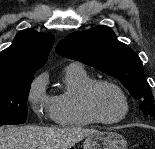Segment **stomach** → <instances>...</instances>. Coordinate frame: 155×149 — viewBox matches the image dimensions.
Wrapping results in <instances>:
<instances>
[{
    "instance_id": "obj_1",
    "label": "stomach",
    "mask_w": 155,
    "mask_h": 149,
    "mask_svg": "<svg viewBox=\"0 0 155 149\" xmlns=\"http://www.w3.org/2000/svg\"><path fill=\"white\" fill-rule=\"evenodd\" d=\"M83 149H127V142L117 132L97 131L86 137Z\"/></svg>"
}]
</instances>
